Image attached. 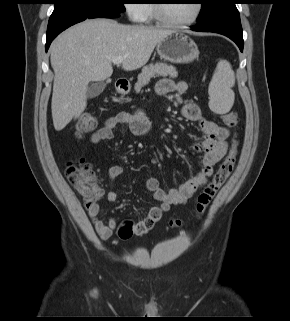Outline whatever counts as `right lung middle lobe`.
I'll return each instance as SVG.
<instances>
[{
	"instance_id": "right-lung-middle-lobe-1",
	"label": "right lung middle lobe",
	"mask_w": 290,
	"mask_h": 321,
	"mask_svg": "<svg viewBox=\"0 0 290 321\" xmlns=\"http://www.w3.org/2000/svg\"><path fill=\"white\" fill-rule=\"evenodd\" d=\"M50 19L64 16H103L125 11L124 0H53Z\"/></svg>"
}]
</instances>
